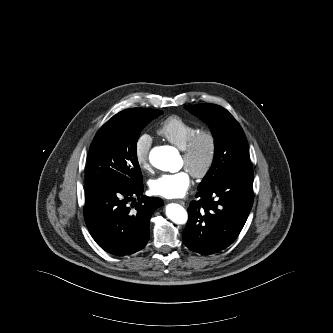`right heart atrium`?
<instances>
[{
    "instance_id": "d8ad5b80",
    "label": "right heart atrium",
    "mask_w": 333,
    "mask_h": 333,
    "mask_svg": "<svg viewBox=\"0 0 333 333\" xmlns=\"http://www.w3.org/2000/svg\"><path fill=\"white\" fill-rule=\"evenodd\" d=\"M151 144L152 138L146 133L139 135L134 142V156L138 165L143 169H147L149 167Z\"/></svg>"
}]
</instances>
